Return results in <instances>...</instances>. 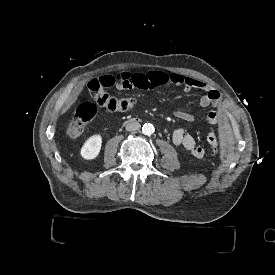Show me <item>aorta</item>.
<instances>
[{"instance_id":"obj_1","label":"aorta","mask_w":275,"mask_h":275,"mask_svg":"<svg viewBox=\"0 0 275 275\" xmlns=\"http://www.w3.org/2000/svg\"><path fill=\"white\" fill-rule=\"evenodd\" d=\"M154 131H155V128H154L153 124H151V123H145L142 127V132L145 135H151L154 133Z\"/></svg>"}]
</instances>
